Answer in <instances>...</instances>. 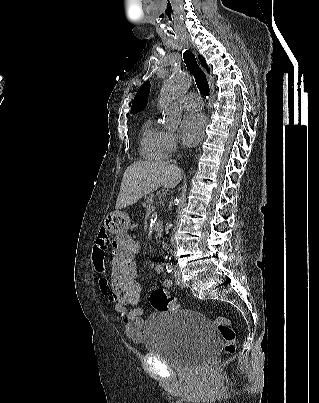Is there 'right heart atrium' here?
I'll return each instance as SVG.
<instances>
[{"label":"right heart atrium","mask_w":319,"mask_h":403,"mask_svg":"<svg viewBox=\"0 0 319 403\" xmlns=\"http://www.w3.org/2000/svg\"><path fill=\"white\" fill-rule=\"evenodd\" d=\"M165 148L167 154H174L179 148V139L174 132L165 133Z\"/></svg>","instance_id":"right-heart-atrium-1"}]
</instances>
